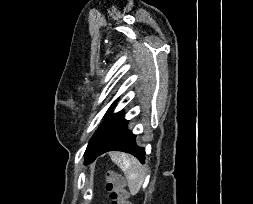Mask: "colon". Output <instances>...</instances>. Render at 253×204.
I'll list each match as a JSON object with an SVG mask.
<instances>
[{"label":"colon","instance_id":"5ec220e1","mask_svg":"<svg viewBox=\"0 0 253 204\" xmlns=\"http://www.w3.org/2000/svg\"><path fill=\"white\" fill-rule=\"evenodd\" d=\"M105 178L110 204H131L123 178L114 172H108Z\"/></svg>","mask_w":253,"mask_h":204}]
</instances>
